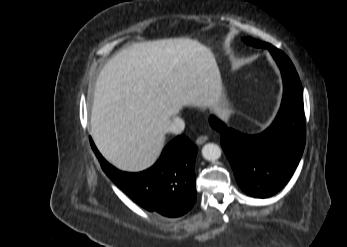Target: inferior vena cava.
<instances>
[{
	"mask_svg": "<svg viewBox=\"0 0 347 247\" xmlns=\"http://www.w3.org/2000/svg\"><path fill=\"white\" fill-rule=\"evenodd\" d=\"M184 128H185L184 120L179 117H174L172 121L170 122V125L167 128V131L173 134H180L183 132Z\"/></svg>",
	"mask_w": 347,
	"mask_h": 247,
	"instance_id": "602c4592",
	"label": "inferior vena cava"
}]
</instances>
